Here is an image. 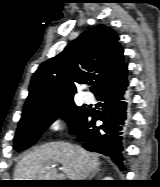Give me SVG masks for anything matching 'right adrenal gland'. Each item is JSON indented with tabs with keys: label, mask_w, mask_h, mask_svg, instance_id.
I'll return each instance as SVG.
<instances>
[{
	"label": "right adrenal gland",
	"mask_w": 160,
	"mask_h": 187,
	"mask_svg": "<svg viewBox=\"0 0 160 187\" xmlns=\"http://www.w3.org/2000/svg\"><path fill=\"white\" fill-rule=\"evenodd\" d=\"M100 170H101L100 168H97L95 171H93L89 179L92 180V178L95 177L96 174L100 172Z\"/></svg>",
	"instance_id": "1"
}]
</instances>
